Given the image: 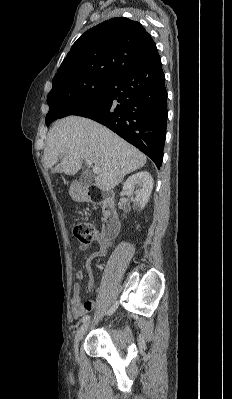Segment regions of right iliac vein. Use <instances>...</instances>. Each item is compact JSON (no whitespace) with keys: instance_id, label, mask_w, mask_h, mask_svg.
<instances>
[{"instance_id":"right-iliac-vein-1","label":"right iliac vein","mask_w":232,"mask_h":399,"mask_svg":"<svg viewBox=\"0 0 232 399\" xmlns=\"http://www.w3.org/2000/svg\"><path fill=\"white\" fill-rule=\"evenodd\" d=\"M109 319H112V317H104V320H109ZM86 329H88V326H87V324H84L83 326L80 327L78 332H76L75 342H74L75 347H78L79 341H82L83 335H85Z\"/></svg>"}]
</instances>
